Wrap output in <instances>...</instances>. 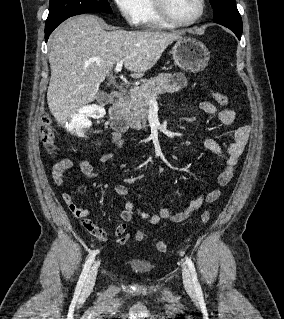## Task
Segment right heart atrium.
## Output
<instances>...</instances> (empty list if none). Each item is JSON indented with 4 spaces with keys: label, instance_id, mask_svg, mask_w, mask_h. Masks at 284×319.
Masks as SVG:
<instances>
[{
    "label": "right heart atrium",
    "instance_id": "obj_1",
    "mask_svg": "<svg viewBox=\"0 0 284 319\" xmlns=\"http://www.w3.org/2000/svg\"><path fill=\"white\" fill-rule=\"evenodd\" d=\"M118 12L131 26L140 25L144 0H113Z\"/></svg>",
    "mask_w": 284,
    "mask_h": 319
}]
</instances>
